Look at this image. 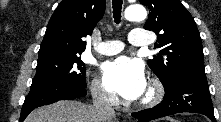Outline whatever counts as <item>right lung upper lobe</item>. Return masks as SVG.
Instances as JSON below:
<instances>
[{
	"label": "right lung upper lobe",
	"mask_w": 221,
	"mask_h": 122,
	"mask_svg": "<svg viewBox=\"0 0 221 122\" xmlns=\"http://www.w3.org/2000/svg\"><path fill=\"white\" fill-rule=\"evenodd\" d=\"M105 7V0H62L48 23L39 59L80 55L86 48L83 38L92 34Z\"/></svg>",
	"instance_id": "right-lung-upper-lobe-1"
}]
</instances>
